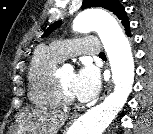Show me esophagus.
Listing matches in <instances>:
<instances>
[{"label":"esophagus","mask_w":153,"mask_h":134,"mask_svg":"<svg viewBox=\"0 0 153 134\" xmlns=\"http://www.w3.org/2000/svg\"><path fill=\"white\" fill-rule=\"evenodd\" d=\"M111 88H112V84L111 82H109L105 88L102 99L111 91ZM74 118H76V116H74Z\"/></svg>","instance_id":"esophagus-1"}]
</instances>
